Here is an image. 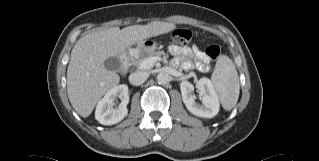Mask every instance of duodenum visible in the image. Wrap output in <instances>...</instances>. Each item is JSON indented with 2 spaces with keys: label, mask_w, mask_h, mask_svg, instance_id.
Returning a JSON list of instances; mask_svg holds the SVG:
<instances>
[{
  "label": "duodenum",
  "mask_w": 319,
  "mask_h": 161,
  "mask_svg": "<svg viewBox=\"0 0 319 161\" xmlns=\"http://www.w3.org/2000/svg\"><path fill=\"white\" fill-rule=\"evenodd\" d=\"M121 61H122V66H126L127 63H128V55H127V54H124V55L122 56Z\"/></svg>",
  "instance_id": "410a0bca"
}]
</instances>
